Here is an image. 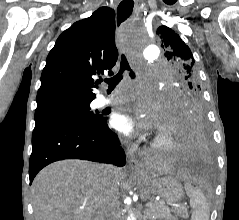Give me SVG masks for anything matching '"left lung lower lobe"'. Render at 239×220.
Masks as SVG:
<instances>
[{"instance_id": "left-lung-lower-lobe-1", "label": "left lung lower lobe", "mask_w": 239, "mask_h": 220, "mask_svg": "<svg viewBox=\"0 0 239 220\" xmlns=\"http://www.w3.org/2000/svg\"><path fill=\"white\" fill-rule=\"evenodd\" d=\"M173 121L180 138L178 162L187 166H200L207 162L210 144L203 106L185 108L175 115Z\"/></svg>"}]
</instances>
